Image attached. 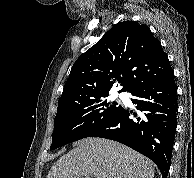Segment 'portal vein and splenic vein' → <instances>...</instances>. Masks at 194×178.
Listing matches in <instances>:
<instances>
[{
  "label": "portal vein and splenic vein",
  "mask_w": 194,
  "mask_h": 178,
  "mask_svg": "<svg viewBox=\"0 0 194 178\" xmlns=\"http://www.w3.org/2000/svg\"><path fill=\"white\" fill-rule=\"evenodd\" d=\"M85 178H90L89 176H86Z\"/></svg>",
  "instance_id": "1"
}]
</instances>
